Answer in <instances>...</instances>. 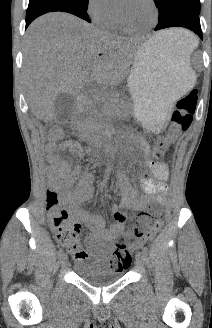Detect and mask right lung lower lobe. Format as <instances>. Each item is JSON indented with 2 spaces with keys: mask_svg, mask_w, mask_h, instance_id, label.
Here are the masks:
<instances>
[{
  "mask_svg": "<svg viewBox=\"0 0 212 328\" xmlns=\"http://www.w3.org/2000/svg\"><path fill=\"white\" fill-rule=\"evenodd\" d=\"M87 5L76 0H29L26 13V28L37 17L54 11H62L76 15L88 22Z\"/></svg>",
  "mask_w": 212,
  "mask_h": 328,
  "instance_id": "98d812e1",
  "label": "right lung lower lobe"
}]
</instances>
